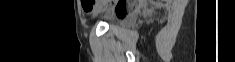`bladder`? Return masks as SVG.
Instances as JSON below:
<instances>
[{"label": "bladder", "instance_id": "1", "mask_svg": "<svg viewBox=\"0 0 235 62\" xmlns=\"http://www.w3.org/2000/svg\"><path fill=\"white\" fill-rule=\"evenodd\" d=\"M136 20V15L134 13H130L126 15L122 20H120L117 25L121 27H127L132 25Z\"/></svg>", "mask_w": 235, "mask_h": 62}]
</instances>
